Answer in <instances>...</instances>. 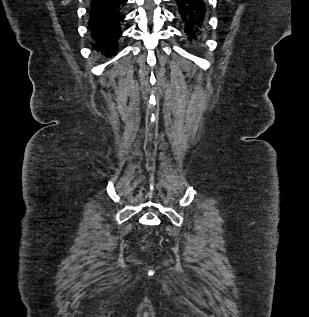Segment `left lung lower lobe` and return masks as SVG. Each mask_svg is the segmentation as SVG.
I'll return each instance as SVG.
<instances>
[{
	"instance_id": "1",
	"label": "left lung lower lobe",
	"mask_w": 309,
	"mask_h": 317,
	"mask_svg": "<svg viewBox=\"0 0 309 317\" xmlns=\"http://www.w3.org/2000/svg\"><path fill=\"white\" fill-rule=\"evenodd\" d=\"M177 15L184 32L193 45L202 41L208 26V4L206 0H174Z\"/></svg>"
}]
</instances>
